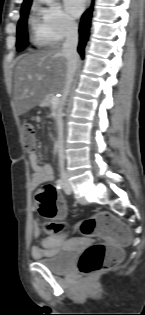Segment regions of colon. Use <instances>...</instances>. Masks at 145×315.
Returning <instances> with one entry per match:
<instances>
[{
	"label": "colon",
	"instance_id": "obj_1",
	"mask_svg": "<svg viewBox=\"0 0 145 315\" xmlns=\"http://www.w3.org/2000/svg\"><path fill=\"white\" fill-rule=\"evenodd\" d=\"M23 142L31 150L35 145V131L31 123L22 125ZM36 206L40 215L49 220L55 230L60 226L56 223L58 215L64 205L49 183L42 184L36 194ZM81 232L89 237H96L106 243H96L88 247L81 254L78 261V270L84 275L99 273L116 266L121 259L120 246L126 244L130 235L125 225L109 213H99L84 220L80 225Z\"/></svg>",
	"mask_w": 145,
	"mask_h": 315
}]
</instances>
